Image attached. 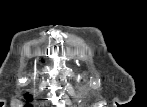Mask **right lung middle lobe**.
Masks as SVG:
<instances>
[{"label": "right lung middle lobe", "mask_w": 147, "mask_h": 107, "mask_svg": "<svg viewBox=\"0 0 147 107\" xmlns=\"http://www.w3.org/2000/svg\"><path fill=\"white\" fill-rule=\"evenodd\" d=\"M27 99H28V100H31V96H30V95H29V96H27Z\"/></svg>", "instance_id": "obj_1"}]
</instances>
